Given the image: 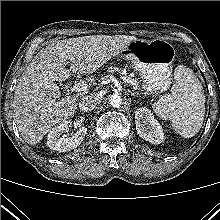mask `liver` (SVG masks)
<instances>
[{"label": "liver", "instance_id": "obj_1", "mask_svg": "<svg viewBox=\"0 0 220 220\" xmlns=\"http://www.w3.org/2000/svg\"><path fill=\"white\" fill-rule=\"evenodd\" d=\"M137 39L125 35L84 36L59 40L40 50L23 72L13 100L14 117L25 142L36 145L54 125L74 116L80 94L60 98L56 81H65L71 72L94 73Z\"/></svg>", "mask_w": 220, "mask_h": 220}]
</instances>
